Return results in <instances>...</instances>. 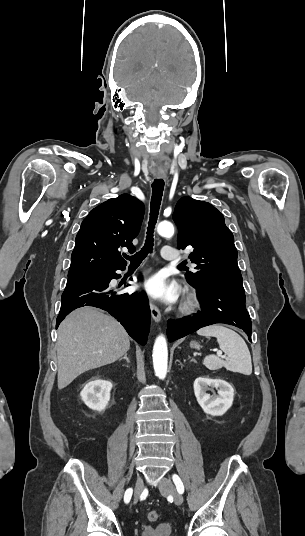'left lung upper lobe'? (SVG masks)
<instances>
[{
	"label": "left lung upper lobe",
	"instance_id": "1",
	"mask_svg": "<svg viewBox=\"0 0 305 536\" xmlns=\"http://www.w3.org/2000/svg\"><path fill=\"white\" fill-rule=\"evenodd\" d=\"M173 220L178 226V249L193 248L189 258L197 264V271L186 273L192 286L243 287L234 237L219 210L210 203L183 197Z\"/></svg>",
	"mask_w": 305,
	"mask_h": 536
}]
</instances>
